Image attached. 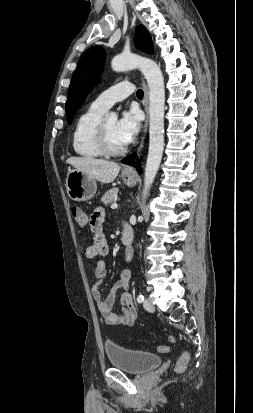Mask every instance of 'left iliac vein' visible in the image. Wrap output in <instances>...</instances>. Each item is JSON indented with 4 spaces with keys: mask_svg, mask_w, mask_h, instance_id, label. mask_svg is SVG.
Segmentation results:
<instances>
[{
    "mask_svg": "<svg viewBox=\"0 0 253 413\" xmlns=\"http://www.w3.org/2000/svg\"><path fill=\"white\" fill-rule=\"evenodd\" d=\"M143 306L145 310H147L148 312H154L155 310L154 305L152 304L151 300L148 298L144 301Z\"/></svg>",
    "mask_w": 253,
    "mask_h": 413,
    "instance_id": "left-iliac-vein-1",
    "label": "left iliac vein"
}]
</instances>
